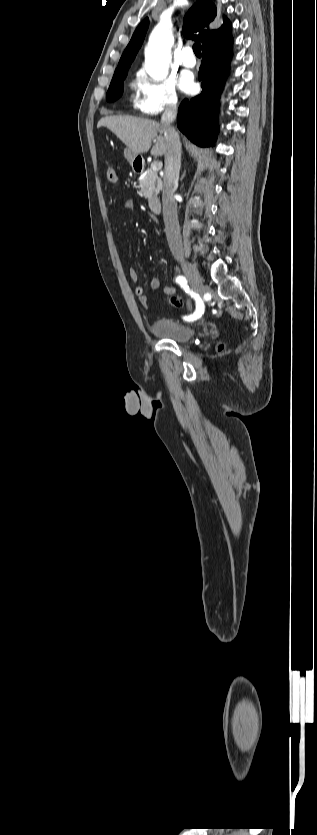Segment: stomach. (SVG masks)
Returning <instances> with one entry per match:
<instances>
[{"mask_svg": "<svg viewBox=\"0 0 317 835\" xmlns=\"http://www.w3.org/2000/svg\"><path fill=\"white\" fill-rule=\"evenodd\" d=\"M124 156L127 161L133 166L135 162H139L142 160V156L138 154H134L130 149L124 150Z\"/></svg>", "mask_w": 317, "mask_h": 835, "instance_id": "stomach-1", "label": "stomach"}]
</instances>
